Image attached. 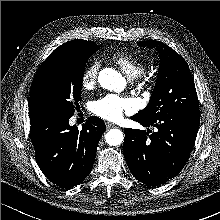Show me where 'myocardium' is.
<instances>
[{"label":"myocardium","mask_w":220,"mask_h":220,"mask_svg":"<svg viewBox=\"0 0 220 220\" xmlns=\"http://www.w3.org/2000/svg\"><path fill=\"white\" fill-rule=\"evenodd\" d=\"M135 82H137L139 85H144V84H148L149 82H151L152 77L149 75H145V74H140L139 76H137L136 78H134Z\"/></svg>","instance_id":"obj_1"}]
</instances>
